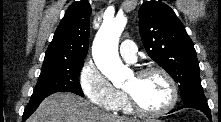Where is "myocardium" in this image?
I'll return each mask as SVG.
<instances>
[{
    "instance_id": "1",
    "label": "myocardium",
    "mask_w": 221,
    "mask_h": 122,
    "mask_svg": "<svg viewBox=\"0 0 221 122\" xmlns=\"http://www.w3.org/2000/svg\"><path fill=\"white\" fill-rule=\"evenodd\" d=\"M151 73L160 74L166 80L169 86L170 100L165 107L159 110H148L142 107L129 91L125 90L124 94L126 96V99L130 107L132 108L134 112L143 116L157 117V116H162V115L169 113L176 106L177 101H178V88L173 77L165 69L161 67L150 66V67L142 68L135 73V76L137 78H141Z\"/></svg>"
}]
</instances>
